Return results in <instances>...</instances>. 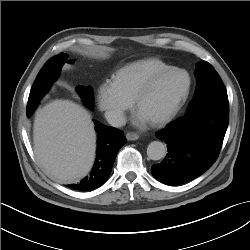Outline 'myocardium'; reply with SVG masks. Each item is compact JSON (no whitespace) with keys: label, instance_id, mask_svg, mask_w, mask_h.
<instances>
[{"label":"myocardium","instance_id":"myocardium-1","mask_svg":"<svg viewBox=\"0 0 250 250\" xmlns=\"http://www.w3.org/2000/svg\"><path fill=\"white\" fill-rule=\"evenodd\" d=\"M174 72H181L184 73L187 77V85L186 88L183 92V94L180 96V98L175 102V104L162 116L150 121L149 123L152 126L158 127L166 124L169 122L181 109V107L184 105L186 102L190 91L192 87V78L190 73L179 67H170L167 69H164L155 75H153L142 87L141 89L137 92L135 98H134V104L135 108L138 109L139 105L141 102L152 92V90L155 88L156 84L165 76L174 73Z\"/></svg>","mask_w":250,"mask_h":250}]
</instances>
